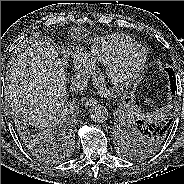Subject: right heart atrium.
<instances>
[{"mask_svg": "<svg viewBox=\"0 0 184 184\" xmlns=\"http://www.w3.org/2000/svg\"><path fill=\"white\" fill-rule=\"evenodd\" d=\"M73 65L78 71L90 74L94 71V63L87 57L82 50H77L73 55Z\"/></svg>", "mask_w": 184, "mask_h": 184, "instance_id": "right-heart-atrium-1", "label": "right heart atrium"}]
</instances>
